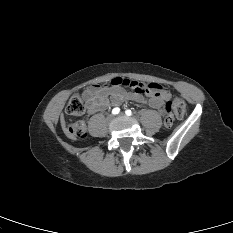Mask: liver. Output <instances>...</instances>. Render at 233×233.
<instances>
[{
    "label": "liver",
    "mask_w": 233,
    "mask_h": 233,
    "mask_svg": "<svg viewBox=\"0 0 233 233\" xmlns=\"http://www.w3.org/2000/svg\"><path fill=\"white\" fill-rule=\"evenodd\" d=\"M62 108H63V103L60 105V109H62ZM60 122H61L62 128L65 130V120H64L63 115H61V117H60Z\"/></svg>",
    "instance_id": "obj_1"
}]
</instances>
